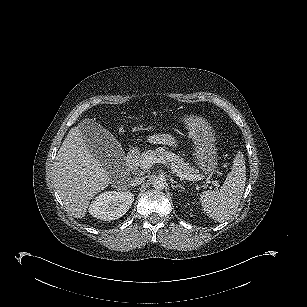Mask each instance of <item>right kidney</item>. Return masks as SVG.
Returning <instances> with one entry per match:
<instances>
[{"instance_id":"1","label":"right kidney","mask_w":307,"mask_h":307,"mask_svg":"<svg viewBox=\"0 0 307 307\" xmlns=\"http://www.w3.org/2000/svg\"><path fill=\"white\" fill-rule=\"evenodd\" d=\"M133 201L134 194L129 191H106L95 197L88 210L93 217L111 221L122 217Z\"/></svg>"}]
</instances>
